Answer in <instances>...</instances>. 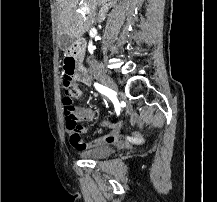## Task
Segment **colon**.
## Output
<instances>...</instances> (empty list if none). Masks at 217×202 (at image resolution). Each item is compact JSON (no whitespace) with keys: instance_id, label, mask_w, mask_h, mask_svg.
I'll return each mask as SVG.
<instances>
[{"instance_id":"1","label":"colon","mask_w":217,"mask_h":202,"mask_svg":"<svg viewBox=\"0 0 217 202\" xmlns=\"http://www.w3.org/2000/svg\"><path fill=\"white\" fill-rule=\"evenodd\" d=\"M70 93L71 95H75V92L73 90H63L62 100L66 125L69 130L81 131L82 126H80L77 122L74 112L73 100Z\"/></svg>"}]
</instances>
